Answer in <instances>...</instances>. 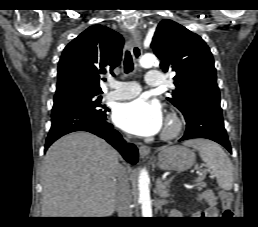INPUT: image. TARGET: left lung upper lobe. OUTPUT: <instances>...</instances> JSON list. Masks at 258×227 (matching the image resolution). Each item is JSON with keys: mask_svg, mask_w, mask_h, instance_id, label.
Here are the masks:
<instances>
[{"mask_svg": "<svg viewBox=\"0 0 258 227\" xmlns=\"http://www.w3.org/2000/svg\"><path fill=\"white\" fill-rule=\"evenodd\" d=\"M151 47L163 72H174L175 90L167 98L184 115L204 106L220 107L216 69L209 47L197 34L172 20H162Z\"/></svg>", "mask_w": 258, "mask_h": 227, "instance_id": "obj_1", "label": "left lung upper lobe"}]
</instances>
